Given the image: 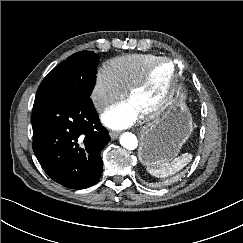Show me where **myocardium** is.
Here are the masks:
<instances>
[{"label": "myocardium", "mask_w": 243, "mask_h": 243, "mask_svg": "<svg viewBox=\"0 0 243 243\" xmlns=\"http://www.w3.org/2000/svg\"><path fill=\"white\" fill-rule=\"evenodd\" d=\"M162 63H167L171 65L172 67V77L170 79V82L168 84V87L166 88L164 94L162 97L159 99L157 103L152 105L151 107L144 109L141 111V113L146 117V118H155L158 115H160L168 106L170 103L174 92L176 90L177 84H178V69L175 64V62L168 57H158L156 60H154L152 63L149 64V66L145 69L143 74L136 80L134 81L126 91V96L128 99H130L135 92L143 88L149 81L152 72L154 69Z\"/></svg>", "instance_id": "f54148a6"}]
</instances>
